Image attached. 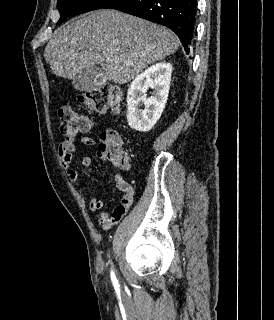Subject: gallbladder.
Masks as SVG:
<instances>
[{"instance_id":"bac80fb5","label":"gallbladder","mask_w":274,"mask_h":320,"mask_svg":"<svg viewBox=\"0 0 274 320\" xmlns=\"http://www.w3.org/2000/svg\"><path fill=\"white\" fill-rule=\"evenodd\" d=\"M73 86L75 90L88 92V90H101L107 84L105 73L101 68H77L73 72Z\"/></svg>"}]
</instances>
